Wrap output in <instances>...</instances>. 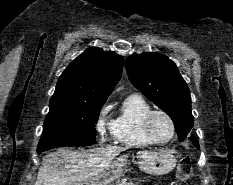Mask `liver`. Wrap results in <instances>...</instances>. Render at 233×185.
<instances>
[{
    "label": "liver",
    "mask_w": 233,
    "mask_h": 185,
    "mask_svg": "<svg viewBox=\"0 0 233 185\" xmlns=\"http://www.w3.org/2000/svg\"><path fill=\"white\" fill-rule=\"evenodd\" d=\"M125 150L119 146L82 151L57 150L43 158L35 185H74L94 178Z\"/></svg>",
    "instance_id": "1"
}]
</instances>
